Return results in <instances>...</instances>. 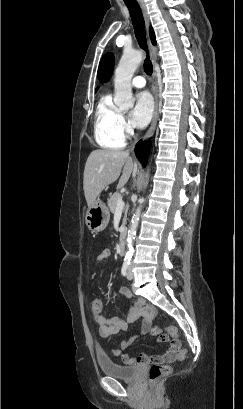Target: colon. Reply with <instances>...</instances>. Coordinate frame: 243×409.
Listing matches in <instances>:
<instances>
[{"mask_svg": "<svg viewBox=\"0 0 243 409\" xmlns=\"http://www.w3.org/2000/svg\"><path fill=\"white\" fill-rule=\"evenodd\" d=\"M101 308H102L101 300L98 298H94L91 301L92 312L99 313L101 311ZM166 331L172 338H176L178 336L177 329L173 326H168L166 328ZM150 332L152 336L158 338L159 340L163 338L162 330L158 326H153ZM178 357L180 360H183L186 357V350L184 348L180 349ZM170 371H171V368L168 365H161V364L154 363L152 364L148 372V379L150 382H156L159 379L167 376L170 373Z\"/></svg>", "mask_w": 243, "mask_h": 409, "instance_id": "colon-1", "label": "colon"}]
</instances>
